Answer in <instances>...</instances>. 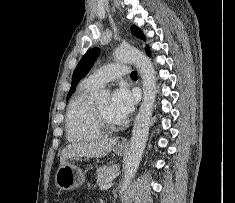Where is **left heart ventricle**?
Returning <instances> with one entry per match:
<instances>
[{"instance_id": "left-heart-ventricle-1", "label": "left heart ventricle", "mask_w": 235, "mask_h": 203, "mask_svg": "<svg viewBox=\"0 0 235 203\" xmlns=\"http://www.w3.org/2000/svg\"><path fill=\"white\" fill-rule=\"evenodd\" d=\"M99 110L101 111V113L103 114V116L105 117V119L111 123V124H118V121L110 114L109 111V100H103L100 102L96 103Z\"/></svg>"}]
</instances>
